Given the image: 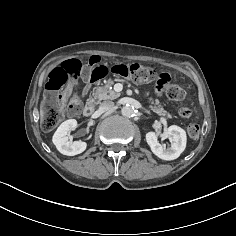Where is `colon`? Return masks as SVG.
Masks as SVG:
<instances>
[{
    "label": "colon",
    "instance_id": "5ec220e1",
    "mask_svg": "<svg viewBox=\"0 0 236 236\" xmlns=\"http://www.w3.org/2000/svg\"><path fill=\"white\" fill-rule=\"evenodd\" d=\"M93 59L88 65H83L78 59H69L54 69L46 83L47 96L44 103L42 127L46 131L54 129L63 119L64 111L69 115L80 113L82 105L75 90L65 108L64 97L61 91L69 81H76L80 77L88 83H93L105 78L108 74L126 77L136 83L156 82L159 91H164L166 96L173 101H182L185 98V91L177 84L171 83L170 74L167 72L158 73L154 68L141 64H116L110 68L104 65H96ZM66 91L65 93H67ZM178 113L183 118H190L193 110L190 107L181 105ZM188 135L196 139L200 134V126L191 123L187 129Z\"/></svg>",
    "mask_w": 236,
    "mask_h": 236
}]
</instances>
